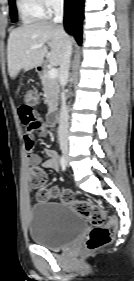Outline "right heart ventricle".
Wrapping results in <instances>:
<instances>
[{"label": "right heart ventricle", "mask_w": 134, "mask_h": 281, "mask_svg": "<svg viewBox=\"0 0 134 281\" xmlns=\"http://www.w3.org/2000/svg\"><path fill=\"white\" fill-rule=\"evenodd\" d=\"M17 9L24 23H32L46 16L39 0H17Z\"/></svg>", "instance_id": "e07e8e85"}]
</instances>
